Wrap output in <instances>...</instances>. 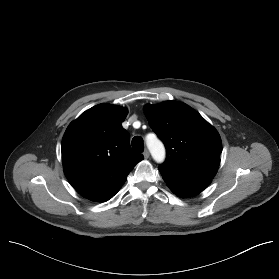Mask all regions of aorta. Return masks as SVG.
<instances>
[{"instance_id":"obj_1","label":"aorta","mask_w":279,"mask_h":279,"mask_svg":"<svg viewBox=\"0 0 279 279\" xmlns=\"http://www.w3.org/2000/svg\"><path fill=\"white\" fill-rule=\"evenodd\" d=\"M147 147L156 163H162L165 160V148L163 143L156 137L148 138Z\"/></svg>"}]
</instances>
